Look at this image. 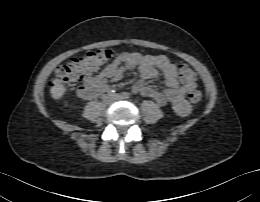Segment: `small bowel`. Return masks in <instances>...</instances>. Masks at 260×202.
<instances>
[{
    "label": "small bowel",
    "mask_w": 260,
    "mask_h": 202,
    "mask_svg": "<svg viewBox=\"0 0 260 202\" xmlns=\"http://www.w3.org/2000/svg\"><path fill=\"white\" fill-rule=\"evenodd\" d=\"M138 69L141 79L133 84L132 90L153 99L158 105L171 104L175 112L181 116L190 113V107L184 97L196 88V83L181 84L178 79L177 68L166 55H142L139 53H124L118 56L110 64L100 69L95 75L88 78L85 88L99 89L106 87L109 79L118 78L122 71ZM161 71L167 88L159 91L146 85L145 80L154 79ZM81 91V96H82ZM96 97V96H95Z\"/></svg>",
    "instance_id": "small-bowel-1"
}]
</instances>
